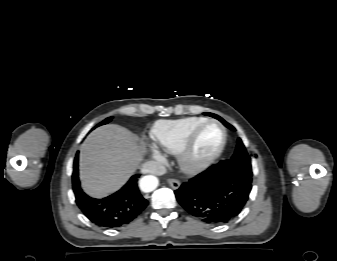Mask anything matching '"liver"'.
I'll use <instances>...</instances> for the list:
<instances>
[{
    "label": "liver",
    "mask_w": 337,
    "mask_h": 261,
    "mask_svg": "<svg viewBox=\"0 0 337 261\" xmlns=\"http://www.w3.org/2000/svg\"><path fill=\"white\" fill-rule=\"evenodd\" d=\"M142 159L138 138L119 125L91 132L80 147L82 186L93 197H104L121 188Z\"/></svg>",
    "instance_id": "liver-1"
}]
</instances>
